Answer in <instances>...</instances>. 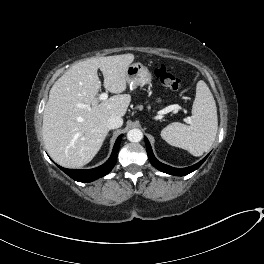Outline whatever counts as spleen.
I'll return each instance as SVG.
<instances>
[{"instance_id": "spleen-1", "label": "spleen", "mask_w": 264, "mask_h": 264, "mask_svg": "<svg viewBox=\"0 0 264 264\" xmlns=\"http://www.w3.org/2000/svg\"><path fill=\"white\" fill-rule=\"evenodd\" d=\"M190 125L173 122L161 131V137L170 145L201 156L214 143L218 129L217 108L207 84L200 80L192 106Z\"/></svg>"}]
</instances>
